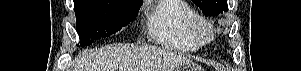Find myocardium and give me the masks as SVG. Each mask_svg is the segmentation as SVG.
Returning a JSON list of instances; mask_svg holds the SVG:
<instances>
[{
	"label": "myocardium",
	"mask_w": 301,
	"mask_h": 71,
	"mask_svg": "<svg viewBox=\"0 0 301 71\" xmlns=\"http://www.w3.org/2000/svg\"><path fill=\"white\" fill-rule=\"evenodd\" d=\"M189 30L200 45L208 44L214 39L213 25L203 16L195 14L190 20Z\"/></svg>",
	"instance_id": "obj_1"
}]
</instances>
